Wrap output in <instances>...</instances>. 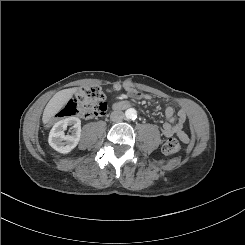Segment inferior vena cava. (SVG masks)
I'll use <instances>...</instances> for the list:
<instances>
[{
	"label": "inferior vena cava",
	"mask_w": 245,
	"mask_h": 245,
	"mask_svg": "<svg viewBox=\"0 0 245 245\" xmlns=\"http://www.w3.org/2000/svg\"><path fill=\"white\" fill-rule=\"evenodd\" d=\"M125 118V115L122 111H113L110 115V119L113 122H120Z\"/></svg>",
	"instance_id": "inferior-vena-cava-1"
}]
</instances>
